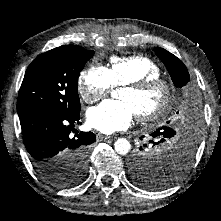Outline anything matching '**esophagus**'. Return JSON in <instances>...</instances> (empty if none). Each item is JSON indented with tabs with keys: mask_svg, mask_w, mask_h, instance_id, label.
Listing matches in <instances>:
<instances>
[{
	"mask_svg": "<svg viewBox=\"0 0 221 221\" xmlns=\"http://www.w3.org/2000/svg\"><path fill=\"white\" fill-rule=\"evenodd\" d=\"M98 138L101 139V140H107V139H110L111 137H110V136H107V135L99 134V135H98Z\"/></svg>",
	"mask_w": 221,
	"mask_h": 221,
	"instance_id": "obj_1",
	"label": "esophagus"
}]
</instances>
